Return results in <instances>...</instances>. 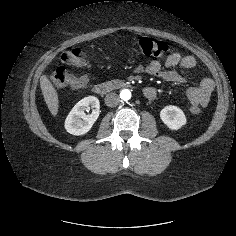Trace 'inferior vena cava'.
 I'll list each match as a JSON object with an SVG mask.
<instances>
[{
  "mask_svg": "<svg viewBox=\"0 0 236 236\" xmlns=\"http://www.w3.org/2000/svg\"><path fill=\"white\" fill-rule=\"evenodd\" d=\"M119 101H120L119 96L116 93H114V92L108 93L105 96V104L108 107H115V106H117Z\"/></svg>",
  "mask_w": 236,
  "mask_h": 236,
  "instance_id": "1",
  "label": "inferior vena cava"
}]
</instances>
